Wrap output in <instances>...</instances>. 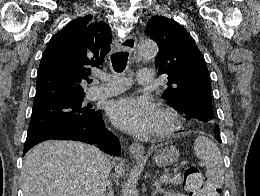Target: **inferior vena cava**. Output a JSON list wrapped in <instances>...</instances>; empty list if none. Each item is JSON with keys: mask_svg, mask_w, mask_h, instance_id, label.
<instances>
[{"mask_svg": "<svg viewBox=\"0 0 260 196\" xmlns=\"http://www.w3.org/2000/svg\"><path fill=\"white\" fill-rule=\"evenodd\" d=\"M107 164H108V168H109V172H110V162L107 158L106 160ZM107 186H110L109 182H107ZM94 196H105V194H103L102 190H97V192H95Z\"/></svg>", "mask_w": 260, "mask_h": 196, "instance_id": "1", "label": "inferior vena cava"}]
</instances>
